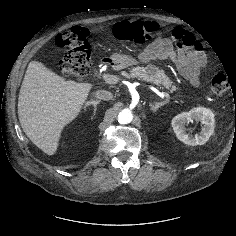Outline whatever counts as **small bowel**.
Returning a JSON list of instances; mask_svg holds the SVG:
<instances>
[{
    "mask_svg": "<svg viewBox=\"0 0 236 236\" xmlns=\"http://www.w3.org/2000/svg\"><path fill=\"white\" fill-rule=\"evenodd\" d=\"M138 58L144 63L170 59L179 74L193 87L200 85L201 74L207 66V57L195 35L181 28L174 29L171 37L158 33Z\"/></svg>",
    "mask_w": 236,
    "mask_h": 236,
    "instance_id": "small-bowel-1",
    "label": "small bowel"
}]
</instances>
